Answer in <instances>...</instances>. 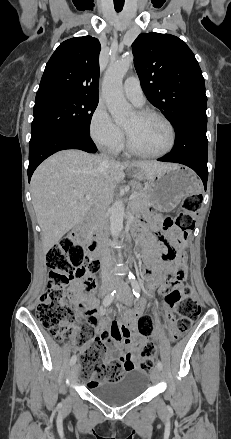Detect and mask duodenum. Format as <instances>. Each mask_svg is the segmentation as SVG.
<instances>
[{"label":"duodenum","instance_id":"duodenum-1","mask_svg":"<svg viewBox=\"0 0 231 439\" xmlns=\"http://www.w3.org/2000/svg\"><path fill=\"white\" fill-rule=\"evenodd\" d=\"M138 238L143 244H146V240L140 234H139ZM88 249L96 257L99 256V246H98V237L97 236H94L92 238V240L88 243ZM148 270H149V265L147 263H145V271H148Z\"/></svg>","mask_w":231,"mask_h":439}]
</instances>
